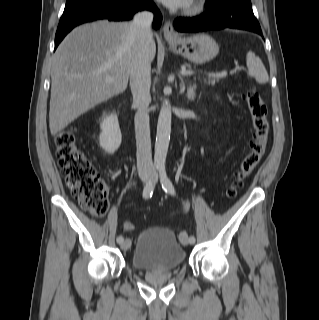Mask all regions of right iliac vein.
I'll use <instances>...</instances> for the list:
<instances>
[{
	"mask_svg": "<svg viewBox=\"0 0 319 320\" xmlns=\"http://www.w3.org/2000/svg\"><path fill=\"white\" fill-rule=\"evenodd\" d=\"M144 181H147V178L144 179ZM131 246V241L129 238H126L122 243H121V249L122 250H128Z\"/></svg>",
	"mask_w": 319,
	"mask_h": 320,
	"instance_id": "obj_1",
	"label": "right iliac vein"
}]
</instances>
